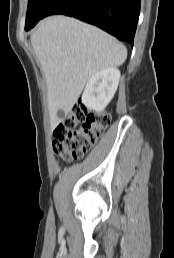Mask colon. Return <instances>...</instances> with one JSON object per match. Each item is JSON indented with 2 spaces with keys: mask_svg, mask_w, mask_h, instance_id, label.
Returning a JSON list of instances; mask_svg holds the SVG:
<instances>
[{
  "mask_svg": "<svg viewBox=\"0 0 174 258\" xmlns=\"http://www.w3.org/2000/svg\"><path fill=\"white\" fill-rule=\"evenodd\" d=\"M110 121L108 112H89L78 102L54 130L55 153L65 161L81 159L103 134Z\"/></svg>",
  "mask_w": 174,
  "mask_h": 258,
  "instance_id": "obj_1",
  "label": "colon"
}]
</instances>
